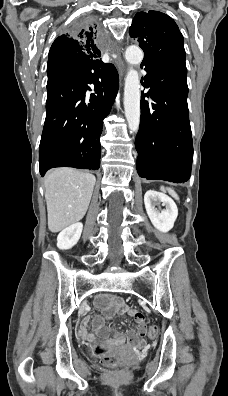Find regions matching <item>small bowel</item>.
Listing matches in <instances>:
<instances>
[{"label":"small bowel","instance_id":"obj_1","mask_svg":"<svg viewBox=\"0 0 228 396\" xmlns=\"http://www.w3.org/2000/svg\"><path fill=\"white\" fill-rule=\"evenodd\" d=\"M96 306L102 311V316H97L93 325L96 331L102 335H106L109 332V328L105 325V319H110L114 315H120L123 313H129L134 316L139 323V328L137 331L131 329L128 333L123 336L121 334L116 335V339L119 342L127 341L128 343L136 346L144 344V336L146 335V328L144 325V316L140 312L130 309L118 296H100L96 300ZM79 336L83 339H88L90 337L87 331V322L84 321L81 324L79 330Z\"/></svg>","mask_w":228,"mask_h":396}]
</instances>
